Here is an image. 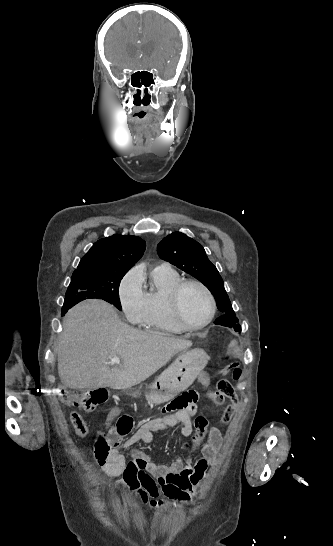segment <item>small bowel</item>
I'll return each mask as SVG.
<instances>
[{"instance_id":"small-bowel-1","label":"small bowel","mask_w":333,"mask_h":546,"mask_svg":"<svg viewBox=\"0 0 333 546\" xmlns=\"http://www.w3.org/2000/svg\"><path fill=\"white\" fill-rule=\"evenodd\" d=\"M232 353V350H229ZM227 361V358H224ZM198 380L202 387L208 386L207 379L211 374L207 370H201L198 373ZM234 403L226 404L224 415L220 416V426H226V422L231 421L234 416ZM171 411L161 418L146 420L141 426L123 443L124 436L118 437L117 444L112 447L109 456L103 460H97L103 473L107 477H116L122 475V479L117 481L116 485L120 487L129 486L138 490L142 502L150 507L161 506V502L150 500L163 494L169 499L182 503H189L195 496L199 485L201 484L208 467L217 463L220 451L223 447V437L217 428H210L208 433V442L204 445L201 455L193 462L191 460L177 459L170 465H161L154 463L146 454L134 451L132 459L126 460L120 452V447L132 448L139 442L151 443L153 441L152 431L164 430L176 425H182L181 434L183 437H189L193 431L191 416L194 408L190 406L181 408L167 407ZM121 409L115 406L109 413L106 422V432L111 434L113 428H110L114 420L120 415ZM122 420L130 424V431L133 426L132 419L128 416L121 417ZM129 431V432H130ZM85 435L81 436L84 437Z\"/></svg>"}]
</instances>
